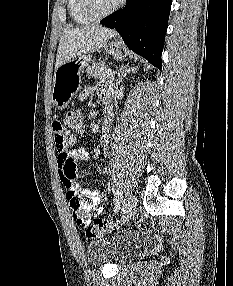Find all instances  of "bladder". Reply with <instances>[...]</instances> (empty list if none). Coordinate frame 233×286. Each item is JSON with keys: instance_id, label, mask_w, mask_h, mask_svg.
<instances>
[{"instance_id": "1", "label": "bladder", "mask_w": 233, "mask_h": 286, "mask_svg": "<svg viewBox=\"0 0 233 286\" xmlns=\"http://www.w3.org/2000/svg\"><path fill=\"white\" fill-rule=\"evenodd\" d=\"M137 248V238L133 234L105 236L91 240L86 247L88 261L95 266L106 263L122 264Z\"/></svg>"}]
</instances>
